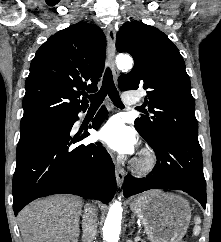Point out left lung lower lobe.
<instances>
[{
    "label": "left lung lower lobe",
    "mask_w": 221,
    "mask_h": 242,
    "mask_svg": "<svg viewBox=\"0 0 221 242\" xmlns=\"http://www.w3.org/2000/svg\"><path fill=\"white\" fill-rule=\"evenodd\" d=\"M146 140V139H145ZM157 164L145 178L125 177L126 197L149 189L181 190L206 207V182L198 135L178 131L160 133L153 141Z\"/></svg>",
    "instance_id": "left-lung-lower-lobe-1"
}]
</instances>
